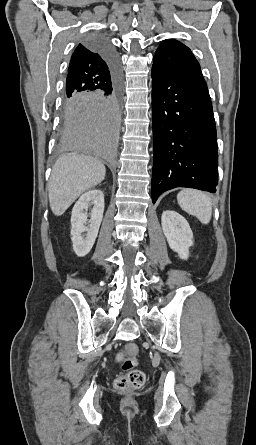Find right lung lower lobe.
Wrapping results in <instances>:
<instances>
[{"label":"right lung lower lobe","mask_w":256,"mask_h":445,"mask_svg":"<svg viewBox=\"0 0 256 445\" xmlns=\"http://www.w3.org/2000/svg\"><path fill=\"white\" fill-rule=\"evenodd\" d=\"M85 42L101 52L109 66L111 79L102 90L64 98L62 145L112 164L117 157L121 123L118 56L102 36H90Z\"/></svg>","instance_id":"98d812e1"}]
</instances>
